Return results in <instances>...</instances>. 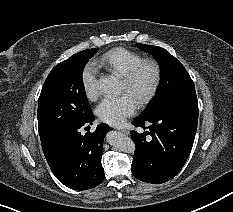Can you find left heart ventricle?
<instances>
[{"mask_svg": "<svg viewBox=\"0 0 233 212\" xmlns=\"http://www.w3.org/2000/svg\"><path fill=\"white\" fill-rule=\"evenodd\" d=\"M153 73L150 68L144 69L135 85L131 88L122 83V92L129 94L137 102L139 98L147 91L152 81Z\"/></svg>", "mask_w": 233, "mask_h": 212, "instance_id": "left-heart-ventricle-1", "label": "left heart ventricle"}]
</instances>
